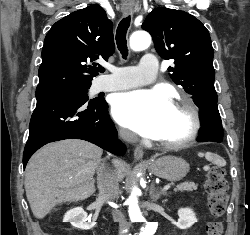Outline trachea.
<instances>
[{"label": "trachea", "mask_w": 250, "mask_h": 235, "mask_svg": "<svg viewBox=\"0 0 250 235\" xmlns=\"http://www.w3.org/2000/svg\"><path fill=\"white\" fill-rule=\"evenodd\" d=\"M129 26H130V16H127L120 21L116 30L117 47L124 59H126L128 55L126 34ZM97 71L103 73L105 69L103 67H98Z\"/></svg>", "instance_id": "3493384b"}]
</instances>
